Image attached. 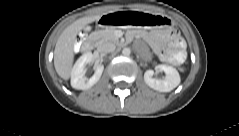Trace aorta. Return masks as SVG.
Instances as JSON below:
<instances>
[{
	"label": "aorta",
	"mask_w": 239,
	"mask_h": 136,
	"mask_svg": "<svg viewBox=\"0 0 239 136\" xmlns=\"http://www.w3.org/2000/svg\"><path fill=\"white\" fill-rule=\"evenodd\" d=\"M130 53H131V50H130L129 48H123L122 54H123L124 56H129Z\"/></svg>",
	"instance_id": "aorta-1"
}]
</instances>
